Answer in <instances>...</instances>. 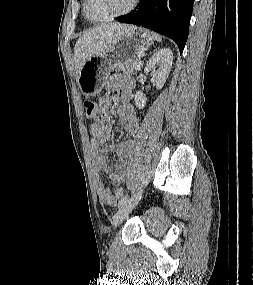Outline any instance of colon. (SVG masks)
<instances>
[{
  "instance_id": "5ec220e1",
  "label": "colon",
  "mask_w": 253,
  "mask_h": 285,
  "mask_svg": "<svg viewBox=\"0 0 253 285\" xmlns=\"http://www.w3.org/2000/svg\"><path fill=\"white\" fill-rule=\"evenodd\" d=\"M85 111H86V116L89 119H92L95 117V111H96V104L92 101H86L85 102ZM116 192L121 195L123 193V189L122 188H117Z\"/></svg>"
}]
</instances>
